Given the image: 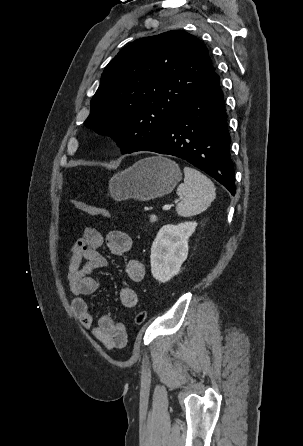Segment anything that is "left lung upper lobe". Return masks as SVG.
Returning a JSON list of instances; mask_svg holds the SVG:
<instances>
[{"mask_svg":"<svg viewBox=\"0 0 303 446\" xmlns=\"http://www.w3.org/2000/svg\"><path fill=\"white\" fill-rule=\"evenodd\" d=\"M216 74L206 46L180 30L124 47L106 66L85 126L135 152L165 131Z\"/></svg>","mask_w":303,"mask_h":446,"instance_id":"obj_1","label":"left lung upper lobe"}]
</instances>
